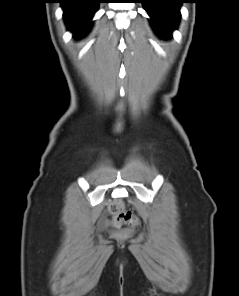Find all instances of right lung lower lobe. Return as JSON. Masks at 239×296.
I'll return each instance as SVG.
<instances>
[{"label": "right lung lower lobe", "mask_w": 239, "mask_h": 296, "mask_svg": "<svg viewBox=\"0 0 239 296\" xmlns=\"http://www.w3.org/2000/svg\"><path fill=\"white\" fill-rule=\"evenodd\" d=\"M101 0H60L68 30L82 37L92 25V18Z\"/></svg>", "instance_id": "98d812e1"}]
</instances>
